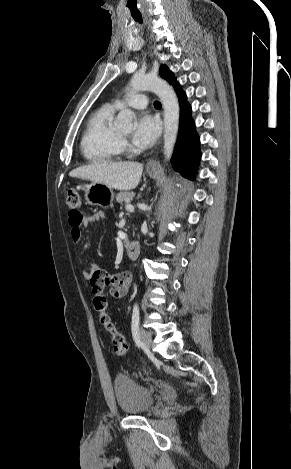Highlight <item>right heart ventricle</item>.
I'll return each mask as SVG.
<instances>
[{
	"label": "right heart ventricle",
	"mask_w": 291,
	"mask_h": 469,
	"mask_svg": "<svg viewBox=\"0 0 291 469\" xmlns=\"http://www.w3.org/2000/svg\"><path fill=\"white\" fill-rule=\"evenodd\" d=\"M116 109L115 105L105 104L89 118L81 140V151L88 161L110 162L120 157L123 141L112 126Z\"/></svg>",
	"instance_id": "obj_1"
}]
</instances>
